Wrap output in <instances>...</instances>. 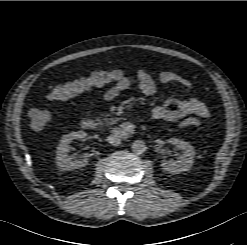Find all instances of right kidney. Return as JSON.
Segmentation results:
<instances>
[{
    "label": "right kidney",
    "mask_w": 247,
    "mask_h": 245,
    "mask_svg": "<svg viewBox=\"0 0 247 245\" xmlns=\"http://www.w3.org/2000/svg\"><path fill=\"white\" fill-rule=\"evenodd\" d=\"M87 134L84 131L72 132L70 134L65 135L61 140L57 147L56 153V165L61 170H72L84 167L88 164L89 159L87 156H84L80 160H72L68 153L70 151V143H72L76 139L83 140Z\"/></svg>",
    "instance_id": "ca27d5eb"
}]
</instances>
